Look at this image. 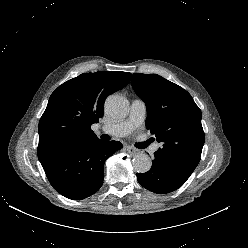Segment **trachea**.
I'll return each mask as SVG.
<instances>
[{
    "label": "trachea",
    "instance_id": "3493384b",
    "mask_svg": "<svg viewBox=\"0 0 248 248\" xmlns=\"http://www.w3.org/2000/svg\"><path fill=\"white\" fill-rule=\"evenodd\" d=\"M148 144H150V141L145 142V145H146V146H147Z\"/></svg>",
    "mask_w": 248,
    "mask_h": 248
}]
</instances>
